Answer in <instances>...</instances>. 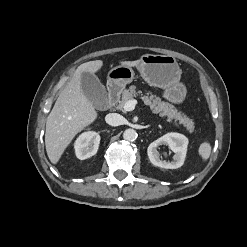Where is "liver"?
I'll use <instances>...</instances> for the list:
<instances>
[{
  "instance_id": "liver-1",
  "label": "liver",
  "mask_w": 247,
  "mask_h": 247,
  "mask_svg": "<svg viewBox=\"0 0 247 247\" xmlns=\"http://www.w3.org/2000/svg\"><path fill=\"white\" fill-rule=\"evenodd\" d=\"M140 60L120 62L121 65L137 66ZM103 66L102 60L81 64L59 94L46 120L45 146L49 160L56 164L73 138L95 121L98 114L81 88L83 72L94 74Z\"/></svg>"
}]
</instances>
